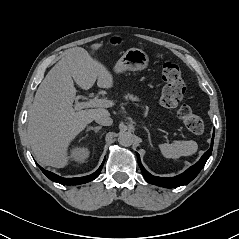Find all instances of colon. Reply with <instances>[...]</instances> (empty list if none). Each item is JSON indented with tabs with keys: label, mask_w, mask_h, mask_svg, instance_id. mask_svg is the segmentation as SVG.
<instances>
[{
	"label": "colon",
	"mask_w": 239,
	"mask_h": 239,
	"mask_svg": "<svg viewBox=\"0 0 239 239\" xmlns=\"http://www.w3.org/2000/svg\"><path fill=\"white\" fill-rule=\"evenodd\" d=\"M113 43L118 45L120 40L114 38ZM162 77L165 81L160 99L162 106L173 110L190 132L194 134L202 133L204 131L202 117L195 114L189 106L180 105V101L186 92L180 67L172 61H166L162 67Z\"/></svg>",
	"instance_id": "5ec220e1"
}]
</instances>
